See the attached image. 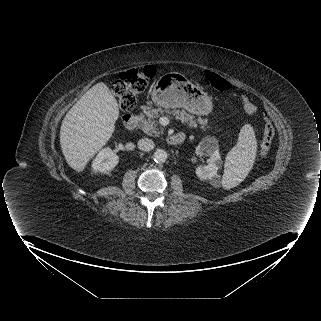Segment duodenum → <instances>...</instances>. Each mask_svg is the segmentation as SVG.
Here are the masks:
<instances>
[{
    "label": "duodenum",
    "instance_id": "410a0bca",
    "mask_svg": "<svg viewBox=\"0 0 321 321\" xmlns=\"http://www.w3.org/2000/svg\"><path fill=\"white\" fill-rule=\"evenodd\" d=\"M138 123V115L137 113H131V114H126L123 117V125L126 129L128 130H132L136 127ZM184 140V136L183 135H173L168 139L169 144L171 145H179L180 143H182Z\"/></svg>",
    "mask_w": 321,
    "mask_h": 321
}]
</instances>
